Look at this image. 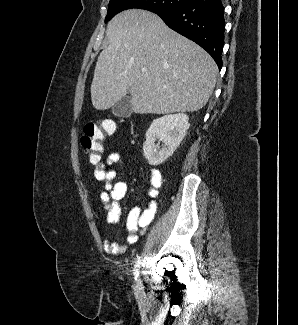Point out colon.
Wrapping results in <instances>:
<instances>
[{
    "label": "colon",
    "instance_id": "colon-1",
    "mask_svg": "<svg viewBox=\"0 0 298 325\" xmlns=\"http://www.w3.org/2000/svg\"><path fill=\"white\" fill-rule=\"evenodd\" d=\"M115 129L116 124L107 119L88 123L84 127L81 145L91 164L95 165L99 161L104 150V141L114 133Z\"/></svg>",
    "mask_w": 298,
    "mask_h": 325
}]
</instances>
